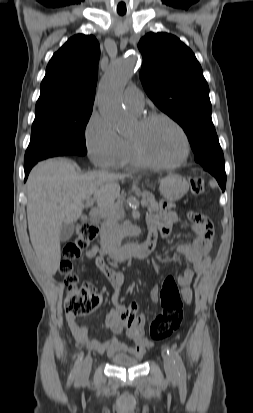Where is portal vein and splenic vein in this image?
I'll return each mask as SVG.
<instances>
[{"instance_id": "obj_1", "label": "portal vein and splenic vein", "mask_w": 253, "mask_h": 413, "mask_svg": "<svg viewBox=\"0 0 253 413\" xmlns=\"http://www.w3.org/2000/svg\"><path fill=\"white\" fill-rule=\"evenodd\" d=\"M141 204H142V206H144V204L142 202H141ZM92 205H93V200L90 199V198H87L86 206L89 207V206H92ZM100 212H102V210Z\"/></svg>"}]
</instances>
